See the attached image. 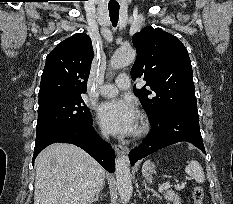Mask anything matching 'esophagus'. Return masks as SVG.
<instances>
[{
    "instance_id": "esophagus-1",
    "label": "esophagus",
    "mask_w": 233,
    "mask_h": 204,
    "mask_svg": "<svg viewBox=\"0 0 233 204\" xmlns=\"http://www.w3.org/2000/svg\"><path fill=\"white\" fill-rule=\"evenodd\" d=\"M114 150L118 155H127L129 153V148L123 145H115Z\"/></svg>"
}]
</instances>
